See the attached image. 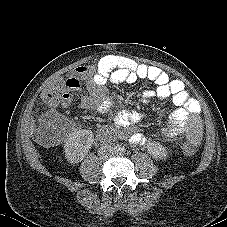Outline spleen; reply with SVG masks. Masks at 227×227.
<instances>
[{
    "label": "spleen",
    "instance_id": "obj_1",
    "mask_svg": "<svg viewBox=\"0 0 227 227\" xmlns=\"http://www.w3.org/2000/svg\"><path fill=\"white\" fill-rule=\"evenodd\" d=\"M184 136L191 143H198L205 136V124L198 117H191L184 124Z\"/></svg>",
    "mask_w": 227,
    "mask_h": 227
}]
</instances>
